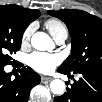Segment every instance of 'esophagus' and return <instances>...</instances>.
<instances>
[{"label": "esophagus", "instance_id": "esophagus-1", "mask_svg": "<svg viewBox=\"0 0 102 102\" xmlns=\"http://www.w3.org/2000/svg\"><path fill=\"white\" fill-rule=\"evenodd\" d=\"M52 79H53L52 77L42 76L41 82L46 84V83H49Z\"/></svg>", "mask_w": 102, "mask_h": 102}]
</instances>
